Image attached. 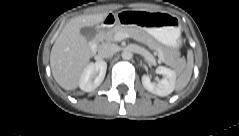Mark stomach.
I'll return each instance as SVG.
<instances>
[{
    "label": "stomach",
    "instance_id": "0dacf381",
    "mask_svg": "<svg viewBox=\"0 0 239 136\" xmlns=\"http://www.w3.org/2000/svg\"><path fill=\"white\" fill-rule=\"evenodd\" d=\"M119 23L125 27H141L144 33L152 36L163 45L177 49L180 44L181 31L178 20L162 12H121Z\"/></svg>",
    "mask_w": 239,
    "mask_h": 136
}]
</instances>
